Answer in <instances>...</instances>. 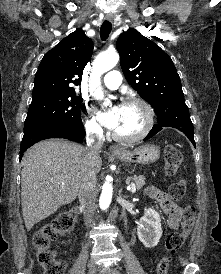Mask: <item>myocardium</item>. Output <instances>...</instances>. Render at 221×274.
Returning a JSON list of instances; mask_svg holds the SVG:
<instances>
[{
  "instance_id": "obj_1",
  "label": "myocardium",
  "mask_w": 221,
  "mask_h": 274,
  "mask_svg": "<svg viewBox=\"0 0 221 274\" xmlns=\"http://www.w3.org/2000/svg\"><path fill=\"white\" fill-rule=\"evenodd\" d=\"M129 104H137L142 108L144 112L145 122L143 128L134 135L126 136L113 131V138L122 143H134L142 140L149 134L154 125V112L151 105L147 101L137 96H129L123 99L122 105Z\"/></svg>"
}]
</instances>
